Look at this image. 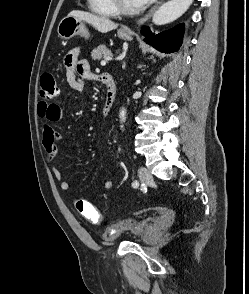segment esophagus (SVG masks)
Segmentation results:
<instances>
[{
  "mask_svg": "<svg viewBox=\"0 0 249 294\" xmlns=\"http://www.w3.org/2000/svg\"><path fill=\"white\" fill-rule=\"evenodd\" d=\"M162 1H163V0H159V1L156 3V5L153 6V7L148 11V13H147L144 17L140 18V19L136 22L135 27H138V26L144 24V23H145V22H146V21L152 16V14L155 12V10L157 9L158 5L162 3ZM122 30L125 31V32H128V33H132V30H131L130 28H128V27H125V28H123Z\"/></svg>",
  "mask_w": 249,
  "mask_h": 294,
  "instance_id": "34e87169",
  "label": "esophagus"
}]
</instances>
